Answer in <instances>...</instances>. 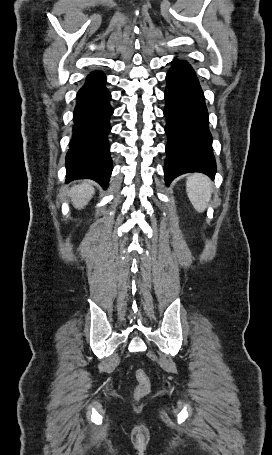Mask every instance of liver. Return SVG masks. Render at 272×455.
<instances>
[{
  "instance_id": "obj_1",
  "label": "liver",
  "mask_w": 272,
  "mask_h": 455,
  "mask_svg": "<svg viewBox=\"0 0 272 455\" xmlns=\"http://www.w3.org/2000/svg\"><path fill=\"white\" fill-rule=\"evenodd\" d=\"M95 190L89 181L73 186L68 196L76 209L84 208L94 195Z\"/></svg>"
}]
</instances>
